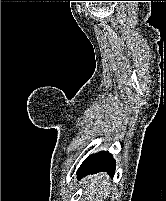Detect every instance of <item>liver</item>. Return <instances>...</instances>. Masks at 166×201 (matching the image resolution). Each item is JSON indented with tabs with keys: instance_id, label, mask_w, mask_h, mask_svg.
<instances>
[{
	"instance_id": "liver-1",
	"label": "liver",
	"mask_w": 166,
	"mask_h": 201,
	"mask_svg": "<svg viewBox=\"0 0 166 201\" xmlns=\"http://www.w3.org/2000/svg\"><path fill=\"white\" fill-rule=\"evenodd\" d=\"M85 201H102V195L108 196L109 177L106 173H98L86 177L83 182Z\"/></svg>"
}]
</instances>
